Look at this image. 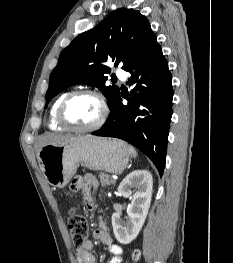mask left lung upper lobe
<instances>
[{"label": "left lung upper lobe", "mask_w": 233, "mask_h": 263, "mask_svg": "<svg viewBox=\"0 0 233 263\" xmlns=\"http://www.w3.org/2000/svg\"><path fill=\"white\" fill-rule=\"evenodd\" d=\"M156 38L148 20L139 11L117 9L90 31L78 35L60 54L49 79L45 95L51 99L65 88L85 83L103 91L111 110L119 97V88L105 86L110 68L104 63L126 69Z\"/></svg>", "instance_id": "obj_1"}]
</instances>
